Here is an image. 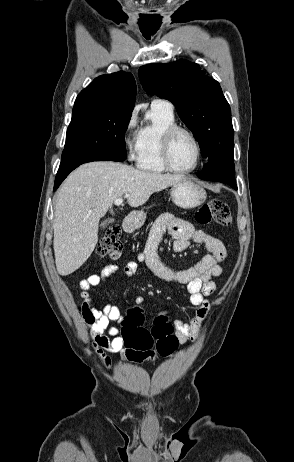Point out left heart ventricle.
Listing matches in <instances>:
<instances>
[{
    "label": "left heart ventricle",
    "instance_id": "left-heart-ventricle-1",
    "mask_svg": "<svg viewBox=\"0 0 294 462\" xmlns=\"http://www.w3.org/2000/svg\"><path fill=\"white\" fill-rule=\"evenodd\" d=\"M196 159V147L189 136L178 134L171 146V160L175 167L186 169L193 166Z\"/></svg>",
    "mask_w": 294,
    "mask_h": 462
}]
</instances>
